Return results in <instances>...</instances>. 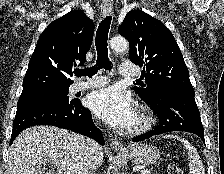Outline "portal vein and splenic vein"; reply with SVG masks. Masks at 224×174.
<instances>
[{
  "label": "portal vein and splenic vein",
  "instance_id": "1",
  "mask_svg": "<svg viewBox=\"0 0 224 174\" xmlns=\"http://www.w3.org/2000/svg\"><path fill=\"white\" fill-rule=\"evenodd\" d=\"M141 174H150V171L149 170H142Z\"/></svg>",
  "mask_w": 224,
  "mask_h": 174
}]
</instances>
